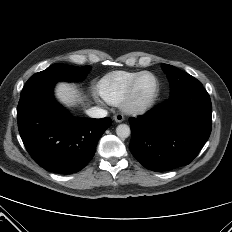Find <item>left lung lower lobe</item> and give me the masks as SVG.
Returning a JSON list of instances; mask_svg holds the SVG:
<instances>
[{"mask_svg":"<svg viewBox=\"0 0 232 232\" xmlns=\"http://www.w3.org/2000/svg\"><path fill=\"white\" fill-rule=\"evenodd\" d=\"M129 123L133 156L149 170H172L188 165L208 140L211 100L202 85L190 87Z\"/></svg>","mask_w":232,"mask_h":232,"instance_id":"obj_1","label":"left lung lower lobe"}]
</instances>
